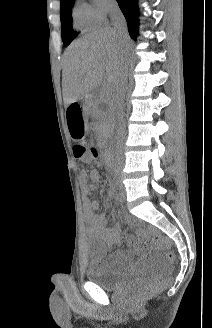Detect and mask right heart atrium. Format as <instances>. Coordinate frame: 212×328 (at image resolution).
Listing matches in <instances>:
<instances>
[{
    "label": "right heart atrium",
    "instance_id": "right-heart-atrium-1",
    "mask_svg": "<svg viewBox=\"0 0 212 328\" xmlns=\"http://www.w3.org/2000/svg\"><path fill=\"white\" fill-rule=\"evenodd\" d=\"M114 8L115 0H90L86 10L94 22L102 23Z\"/></svg>",
    "mask_w": 212,
    "mask_h": 328
}]
</instances>
